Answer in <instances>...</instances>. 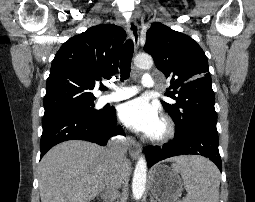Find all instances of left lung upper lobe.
<instances>
[{
    "mask_svg": "<svg viewBox=\"0 0 255 202\" xmlns=\"http://www.w3.org/2000/svg\"><path fill=\"white\" fill-rule=\"evenodd\" d=\"M144 50L170 80L165 95L176 103L161 102L175 122L176 133L195 129L217 131L208 61L196 41L156 22L146 33Z\"/></svg>",
    "mask_w": 255,
    "mask_h": 202,
    "instance_id": "left-lung-upper-lobe-1",
    "label": "left lung upper lobe"
}]
</instances>
